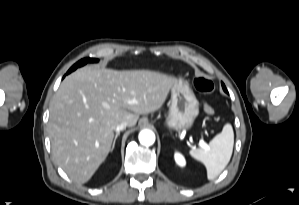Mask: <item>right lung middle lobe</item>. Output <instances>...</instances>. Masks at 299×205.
<instances>
[{
	"instance_id": "right-lung-middle-lobe-1",
	"label": "right lung middle lobe",
	"mask_w": 299,
	"mask_h": 205,
	"mask_svg": "<svg viewBox=\"0 0 299 205\" xmlns=\"http://www.w3.org/2000/svg\"><path fill=\"white\" fill-rule=\"evenodd\" d=\"M88 62H98V59H95V58H84L80 61H78L76 64H74L70 70L68 71V73L74 71L76 68L80 67V66H83L85 65L86 63Z\"/></svg>"
}]
</instances>
